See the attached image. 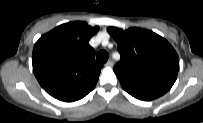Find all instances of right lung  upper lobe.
Listing matches in <instances>:
<instances>
[{
  "mask_svg": "<svg viewBox=\"0 0 203 123\" xmlns=\"http://www.w3.org/2000/svg\"><path fill=\"white\" fill-rule=\"evenodd\" d=\"M99 27L82 21L62 24L35 43L33 72L54 98L81 94L95 87L102 64L94 60L90 38Z\"/></svg>",
  "mask_w": 203,
  "mask_h": 123,
  "instance_id": "cb5924a9",
  "label": "right lung upper lobe"
}]
</instances>
